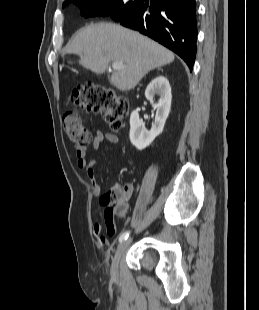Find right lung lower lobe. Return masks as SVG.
Returning <instances> with one entry per match:
<instances>
[{"label": "right lung lower lobe", "mask_w": 259, "mask_h": 310, "mask_svg": "<svg viewBox=\"0 0 259 310\" xmlns=\"http://www.w3.org/2000/svg\"><path fill=\"white\" fill-rule=\"evenodd\" d=\"M118 21L168 47L192 70L198 34L195 0H150V5L137 2Z\"/></svg>", "instance_id": "98d812e1"}]
</instances>
